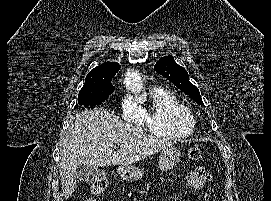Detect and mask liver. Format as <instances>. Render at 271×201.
Listing matches in <instances>:
<instances>
[{
    "instance_id": "liver-1",
    "label": "liver",
    "mask_w": 271,
    "mask_h": 201,
    "mask_svg": "<svg viewBox=\"0 0 271 201\" xmlns=\"http://www.w3.org/2000/svg\"><path fill=\"white\" fill-rule=\"evenodd\" d=\"M115 145L119 150L114 152ZM172 145V141L147 134L123 122L113 112L90 109L76 113L62 140L60 180L65 199L77 188L78 165L93 167L129 165Z\"/></svg>"
}]
</instances>
